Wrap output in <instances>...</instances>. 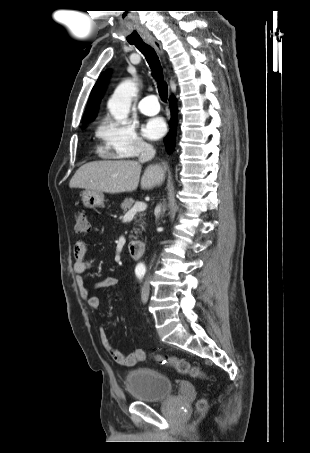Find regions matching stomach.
Returning <instances> with one entry per match:
<instances>
[{
  "label": "stomach",
  "mask_w": 310,
  "mask_h": 453,
  "mask_svg": "<svg viewBox=\"0 0 310 453\" xmlns=\"http://www.w3.org/2000/svg\"><path fill=\"white\" fill-rule=\"evenodd\" d=\"M82 202L87 208L102 207L104 205V195L99 191L85 190L82 193Z\"/></svg>",
  "instance_id": "1"
}]
</instances>
